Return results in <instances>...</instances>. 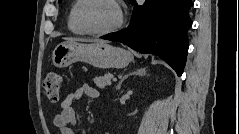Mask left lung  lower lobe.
Segmentation results:
<instances>
[{
	"label": "left lung lower lobe",
	"mask_w": 239,
	"mask_h": 134,
	"mask_svg": "<svg viewBox=\"0 0 239 134\" xmlns=\"http://www.w3.org/2000/svg\"><path fill=\"white\" fill-rule=\"evenodd\" d=\"M192 6L191 0H146L143 5H135L125 30L101 38L122 42L140 53L157 55L181 76L189 47L187 30L192 21L188 12Z\"/></svg>",
	"instance_id": "obj_1"
}]
</instances>
